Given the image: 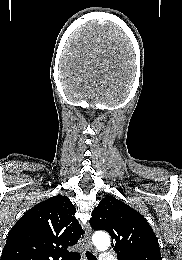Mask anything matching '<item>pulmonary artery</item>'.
<instances>
[{"mask_svg":"<svg viewBox=\"0 0 182 260\" xmlns=\"http://www.w3.org/2000/svg\"><path fill=\"white\" fill-rule=\"evenodd\" d=\"M100 260H117V259L114 255L105 252L100 255Z\"/></svg>","mask_w":182,"mask_h":260,"instance_id":"1","label":"pulmonary artery"}]
</instances>
